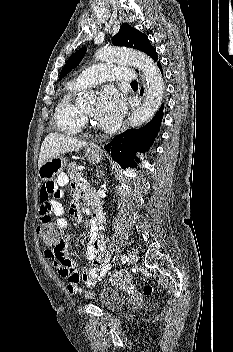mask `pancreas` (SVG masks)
I'll use <instances>...</instances> for the list:
<instances>
[{
	"label": "pancreas",
	"mask_w": 233,
	"mask_h": 352,
	"mask_svg": "<svg viewBox=\"0 0 233 352\" xmlns=\"http://www.w3.org/2000/svg\"><path fill=\"white\" fill-rule=\"evenodd\" d=\"M67 172L72 180L80 181L82 179V173L78 172L77 165L75 162L69 163Z\"/></svg>",
	"instance_id": "1"
}]
</instances>
